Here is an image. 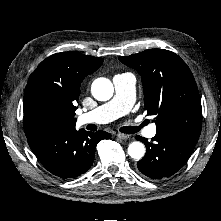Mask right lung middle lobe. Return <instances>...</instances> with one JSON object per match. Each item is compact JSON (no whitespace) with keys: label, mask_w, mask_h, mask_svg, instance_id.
I'll list each match as a JSON object with an SVG mask.
<instances>
[{"label":"right lung middle lobe","mask_w":221,"mask_h":221,"mask_svg":"<svg viewBox=\"0 0 221 221\" xmlns=\"http://www.w3.org/2000/svg\"><path fill=\"white\" fill-rule=\"evenodd\" d=\"M30 114L45 125L53 126L56 121V112L48 101L36 99L30 103Z\"/></svg>","instance_id":"right-lung-middle-lobe-1"}]
</instances>
